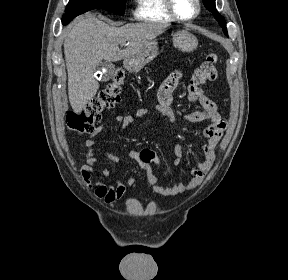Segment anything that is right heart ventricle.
I'll return each mask as SVG.
<instances>
[{
    "mask_svg": "<svg viewBox=\"0 0 288 280\" xmlns=\"http://www.w3.org/2000/svg\"><path fill=\"white\" fill-rule=\"evenodd\" d=\"M135 17L147 22H173L165 0H136Z\"/></svg>",
    "mask_w": 288,
    "mask_h": 280,
    "instance_id": "e07e8e85",
    "label": "right heart ventricle"
}]
</instances>
